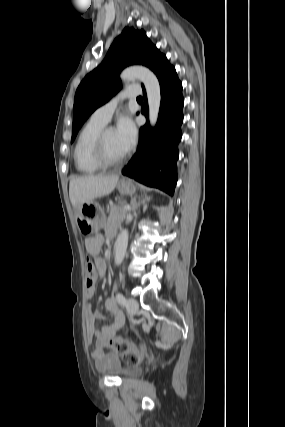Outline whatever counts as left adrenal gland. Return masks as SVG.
Returning a JSON list of instances; mask_svg holds the SVG:
<instances>
[{"label": "left adrenal gland", "instance_id": "a2214340", "mask_svg": "<svg viewBox=\"0 0 285 427\" xmlns=\"http://www.w3.org/2000/svg\"><path fill=\"white\" fill-rule=\"evenodd\" d=\"M144 202H145V199L137 202V197L132 198V200H131V210L135 212L138 209V207L140 206V204L144 203Z\"/></svg>", "mask_w": 285, "mask_h": 427}]
</instances>
